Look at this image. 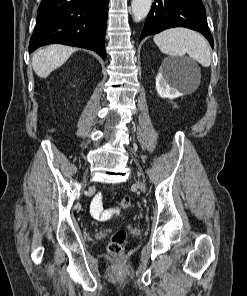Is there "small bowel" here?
I'll return each mask as SVG.
<instances>
[{
    "label": "small bowel",
    "instance_id": "obj_1",
    "mask_svg": "<svg viewBox=\"0 0 247 296\" xmlns=\"http://www.w3.org/2000/svg\"><path fill=\"white\" fill-rule=\"evenodd\" d=\"M92 213L96 218H106L104 217L106 212L102 211V205L99 198H96L92 205Z\"/></svg>",
    "mask_w": 247,
    "mask_h": 296
}]
</instances>
